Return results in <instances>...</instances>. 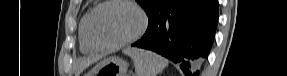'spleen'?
Masks as SVG:
<instances>
[{
    "mask_svg": "<svg viewBox=\"0 0 287 76\" xmlns=\"http://www.w3.org/2000/svg\"><path fill=\"white\" fill-rule=\"evenodd\" d=\"M123 52L132 58L137 76H156L168 65L165 58L152 51L126 48Z\"/></svg>",
    "mask_w": 287,
    "mask_h": 76,
    "instance_id": "3e777b00",
    "label": "spleen"
}]
</instances>
